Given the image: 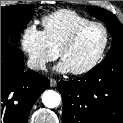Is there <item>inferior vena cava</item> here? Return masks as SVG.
<instances>
[{
	"mask_svg": "<svg viewBox=\"0 0 123 123\" xmlns=\"http://www.w3.org/2000/svg\"><path fill=\"white\" fill-rule=\"evenodd\" d=\"M27 66L33 70H45V60L39 58H29L27 61Z\"/></svg>",
	"mask_w": 123,
	"mask_h": 123,
	"instance_id": "1",
	"label": "inferior vena cava"
}]
</instances>
